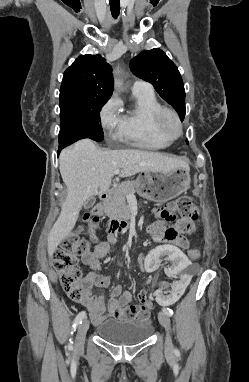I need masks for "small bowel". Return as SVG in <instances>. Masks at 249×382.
I'll return each mask as SVG.
<instances>
[{
    "instance_id": "c3829d8e",
    "label": "small bowel",
    "mask_w": 249,
    "mask_h": 382,
    "mask_svg": "<svg viewBox=\"0 0 249 382\" xmlns=\"http://www.w3.org/2000/svg\"><path fill=\"white\" fill-rule=\"evenodd\" d=\"M161 219L160 225L151 228V231H154L160 240L172 242L173 244L170 245H179V250L187 248L186 236L195 231L198 218L172 214L169 218L161 217ZM165 222L170 225L161 226ZM117 241V234L110 231L105 241L97 244L93 250H88L82 254L81 260L87 266L88 271L83 278L86 284V297L80 302L88 309L90 317L95 323H100L106 317L147 323L150 320V310L153 305L151 300H147L145 304L141 305H129L132 300V293L123 292L121 286L118 285L113 288L106 308L104 298L91 293L93 285L102 288L109 286L110 277L98 274L97 271L101 267L100 260L106 257L111 245ZM153 243L157 246L160 242L156 239ZM145 257L140 256L139 260H145Z\"/></svg>"
}]
</instances>
